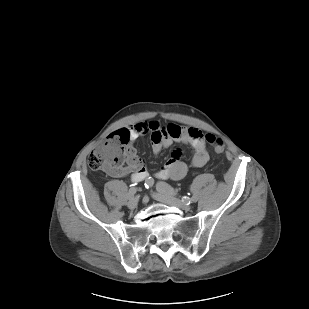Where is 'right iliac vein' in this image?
I'll use <instances>...</instances> for the list:
<instances>
[{
    "instance_id": "right-iliac-vein-1",
    "label": "right iliac vein",
    "mask_w": 309,
    "mask_h": 309,
    "mask_svg": "<svg viewBox=\"0 0 309 309\" xmlns=\"http://www.w3.org/2000/svg\"><path fill=\"white\" fill-rule=\"evenodd\" d=\"M138 202H139V201L136 202V201H134V200H130V199H129L127 206H128L129 209H134V208L137 207Z\"/></svg>"
}]
</instances>
